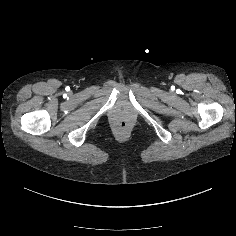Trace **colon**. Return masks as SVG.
<instances>
[{
	"label": "colon",
	"instance_id": "colon-1",
	"mask_svg": "<svg viewBox=\"0 0 236 236\" xmlns=\"http://www.w3.org/2000/svg\"><path fill=\"white\" fill-rule=\"evenodd\" d=\"M125 126H126V124H125L124 122H121V123L119 124V128H121V129L125 128Z\"/></svg>",
	"mask_w": 236,
	"mask_h": 236
}]
</instances>
